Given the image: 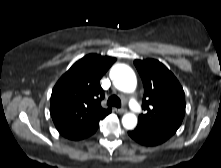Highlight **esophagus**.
<instances>
[{
  "label": "esophagus",
  "instance_id": "34e87169",
  "mask_svg": "<svg viewBox=\"0 0 221 168\" xmlns=\"http://www.w3.org/2000/svg\"><path fill=\"white\" fill-rule=\"evenodd\" d=\"M115 111H116L117 113H119V114H123V113H125L127 110H126V108H119V109H115Z\"/></svg>",
  "mask_w": 221,
  "mask_h": 168
}]
</instances>
